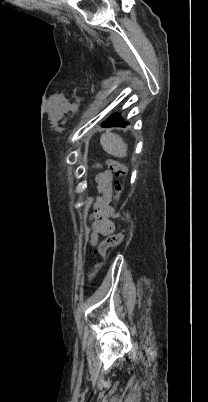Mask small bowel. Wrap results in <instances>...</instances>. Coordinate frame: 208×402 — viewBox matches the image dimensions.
I'll return each instance as SVG.
<instances>
[{"label": "small bowel", "instance_id": "1", "mask_svg": "<svg viewBox=\"0 0 208 402\" xmlns=\"http://www.w3.org/2000/svg\"><path fill=\"white\" fill-rule=\"evenodd\" d=\"M112 179L113 173L110 170H105L97 176V188L101 196L96 200L90 218L93 230L90 236L92 245L97 243L99 235L108 236L115 231V223L111 219L113 209L109 205Z\"/></svg>", "mask_w": 208, "mask_h": 402}]
</instances>
